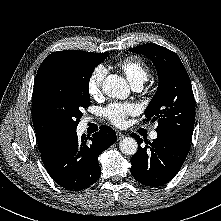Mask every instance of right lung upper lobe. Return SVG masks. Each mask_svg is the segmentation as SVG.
Instances as JSON below:
<instances>
[{
	"instance_id": "1",
	"label": "right lung upper lobe",
	"mask_w": 221,
	"mask_h": 221,
	"mask_svg": "<svg viewBox=\"0 0 221 221\" xmlns=\"http://www.w3.org/2000/svg\"><path fill=\"white\" fill-rule=\"evenodd\" d=\"M95 55H97V53H89L85 51L76 50L53 52L44 59L37 73L41 72L47 66L66 58ZM32 100L33 126L35 129L39 149L40 151H42L46 149L59 135L64 134L65 132L60 130L54 123L48 120L39 110L34 99Z\"/></svg>"
}]
</instances>
